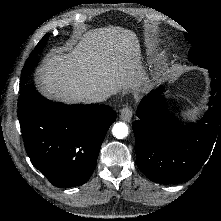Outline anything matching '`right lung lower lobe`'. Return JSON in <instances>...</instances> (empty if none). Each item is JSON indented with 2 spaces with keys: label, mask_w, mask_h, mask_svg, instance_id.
Segmentation results:
<instances>
[{
  "label": "right lung lower lobe",
  "mask_w": 221,
  "mask_h": 221,
  "mask_svg": "<svg viewBox=\"0 0 221 221\" xmlns=\"http://www.w3.org/2000/svg\"><path fill=\"white\" fill-rule=\"evenodd\" d=\"M116 112L107 105H66L25 84L18 119L32 164L56 187L83 185L93 173Z\"/></svg>",
  "instance_id": "1"
}]
</instances>
